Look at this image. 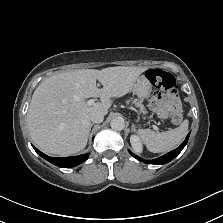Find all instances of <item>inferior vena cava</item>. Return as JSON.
<instances>
[{"mask_svg":"<svg viewBox=\"0 0 223 223\" xmlns=\"http://www.w3.org/2000/svg\"><path fill=\"white\" fill-rule=\"evenodd\" d=\"M104 119V115L101 111H93L90 114V121L95 123H101Z\"/></svg>","mask_w":223,"mask_h":223,"instance_id":"obj_1","label":"inferior vena cava"}]
</instances>
